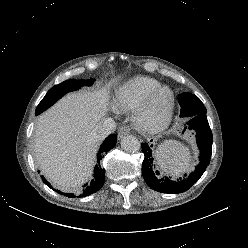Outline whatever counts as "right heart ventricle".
<instances>
[{
  "mask_svg": "<svg viewBox=\"0 0 248 248\" xmlns=\"http://www.w3.org/2000/svg\"><path fill=\"white\" fill-rule=\"evenodd\" d=\"M162 84L148 76H136L125 82L116 92L115 106L121 111L135 110L136 107Z\"/></svg>",
  "mask_w": 248,
  "mask_h": 248,
  "instance_id": "e07e8e85",
  "label": "right heart ventricle"
}]
</instances>
